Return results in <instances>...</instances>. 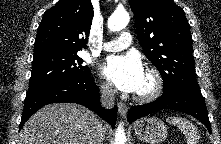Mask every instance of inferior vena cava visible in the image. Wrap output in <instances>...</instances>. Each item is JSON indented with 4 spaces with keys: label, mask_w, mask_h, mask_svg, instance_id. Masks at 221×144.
<instances>
[{
    "label": "inferior vena cava",
    "mask_w": 221,
    "mask_h": 144,
    "mask_svg": "<svg viewBox=\"0 0 221 144\" xmlns=\"http://www.w3.org/2000/svg\"><path fill=\"white\" fill-rule=\"evenodd\" d=\"M116 92L117 90L111 84L102 85L100 88L101 105L105 108H112L114 106ZM103 140L104 132L102 130V124L98 122L92 135L91 144H103Z\"/></svg>",
    "instance_id": "inferior-vena-cava-1"
}]
</instances>
